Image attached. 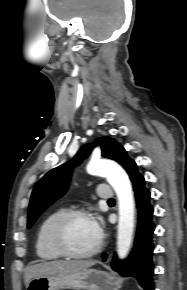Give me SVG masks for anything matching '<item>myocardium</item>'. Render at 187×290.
I'll list each match as a JSON object with an SVG mask.
<instances>
[{"label":"myocardium","mask_w":187,"mask_h":290,"mask_svg":"<svg viewBox=\"0 0 187 290\" xmlns=\"http://www.w3.org/2000/svg\"><path fill=\"white\" fill-rule=\"evenodd\" d=\"M78 217H88L91 218L89 211L84 209H72L67 210L62 213L57 220L54 222L51 229V242L54 249L63 257L73 258V259H85L90 258L97 254L103 244V236L99 235V240L96 245L88 251L77 252L70 248L66 240V230L69 223Z\"/></svg>","instance_id":"obj_1"}]
</instances>
